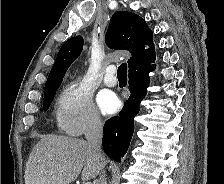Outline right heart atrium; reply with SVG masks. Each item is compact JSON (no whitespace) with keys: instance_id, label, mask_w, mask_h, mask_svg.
I'll return each mask as SVG.
<instances>
[{"instance_id":"1","label":"right heart atrium","mask_w":224,"mask_h":184,"mask_svg":"<svg viewBox=\"0 0 224 184\" xmlns=\"http://www.w3.org/2000/svg\"><path fill=\"white\" fill-rule=\"evenodd\" d=\"M55 116L58 127L72 136L98 131L102 126L92 94L81 81L71 82L63 88Z\"/></svg>"}]
</instances>
